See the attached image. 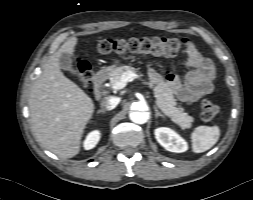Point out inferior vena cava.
<instances>
[{
	"instance_id": "602c4592",
	"label": "inferior vena cava",
	"mask_w": 253,
	"mask_h": 200,
	"mask_svg": "<svg viewBox=\"0 0 253 200\" xmlns=\"http://www.w3.org/2000/svg\"><path fill=\"white\" fill-rule=\"evenodd\" d=\"M119 101L118 97L109 96L104 98L100 105L103 109L112 110L118 105Z\"/></svg>"
}]
</instances>
